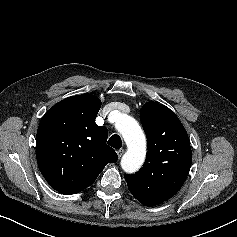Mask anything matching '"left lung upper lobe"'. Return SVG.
I'll use <instances>...</instances> for the list:
<instances>
[{"mask_svg": "<svg viewBox=\"0 0 237 237\" xmlns=\"http://www.w3.org/2000/svg\"><path fill=\"white\" fill-rule=\"evenodd\" d=\"M140 119L147 136V157L143 167L125 175L132 195L146 206L173 197L190 170L192 151L187 132L178 117L166 106L147 102Z\"/></svg>", "mask_w": 237, "mask_h": 237, "instance_id": "obj_1", "label": "left lung upper lobe"}]
</instances>
